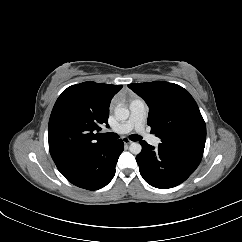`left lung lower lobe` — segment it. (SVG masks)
I'll use <instances>...</instances> for the list:
<instances>
[{
	"label": "left lung lower lobe",
	"instance_id": "0a47b994",
	"mask_svg": "<svg viewBox=\"0 0 242 242\" xmlns=\"http://www.w3.org/2000/svg\"><path fill=\"white\" fill-rule=\"evenodd\" d=\"M142 151L136 156L141 176L153 187L172 188L185 181L198 167L201 157L154 148L141 141Z\"/></svg>",
	"mask_w": 242,
	"mask_h": 242
}]
</instances>
